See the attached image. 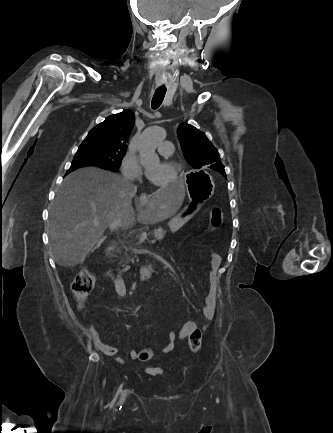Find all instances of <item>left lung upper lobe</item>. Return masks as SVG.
Returning a JSON list of instances; mask_svg holds the SVG:
<instances>
[{
  "label": "left lung upper lobe",
  "mask_w": 333,
  "mask_h": 433,
  "mask_svg": "<svg viewBox=\"0 0 333 433\" xmlns=\"http://www.w3.org/2000/svg\"><path fill=\"white\" fill-rule=\"evenodd\" d=\"M178 138L186 160L196 169L204 165H216L220 173H225L218 151L207 136L190 124L179 125Z\"/></svg>",
  "instance_id": "1"
}]
</instances>
